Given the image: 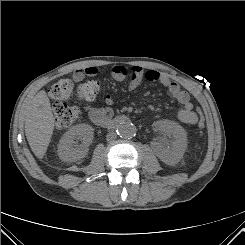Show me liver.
Returning <instances> with one entry per match:
<instances>
[{"instance_id": "1", "label": "liver", "mask_w": 245, "mask_h": 245, "mask_svg": "<svg viewBox=\"0 0 245 245\" xmlns=\"http://www.w3.org/2000/svg\"><path fill=\"white\" fill-rule=\"evenodd\" d=\"M54 116L44 90L33 97L25 109V135L35 156L42 159L54 131Z\"/></svg>"}]
</instances>
